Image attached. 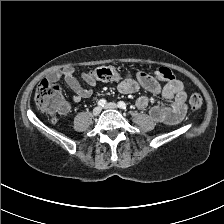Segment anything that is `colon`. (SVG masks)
Returning <instances> with one entry per match:
<instances>
[{
    "mask_svg": "<svg viewBox=\"0 0 224 224\" xmlns=\"http://www.w3.org/2000/svg\"><path fill=\"white\" fill-rule=\"evenodd\" d=\"M155 74L164 81L169 82L175 79L172 71L166 67H159ZM90 76L95 80L112 82L120 77V70L115 67L104 66L91 71ZM188 101L192 110H200L202 106V97L198 92L191 91ZM35 103L39 110L48 113L53 117H55L57 113L67 110V104L62 89L59 85L48 81H42L37 86Z\"/></svg>",
    "mask_w": 224,
    "mask_h": 224,
    "instance_id": "5ec220e1",
    "label": "colon"
}]
</instances>
